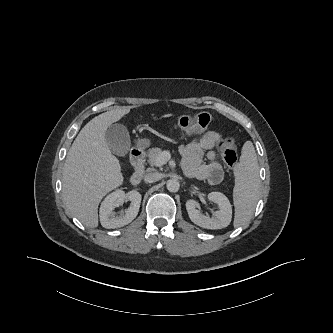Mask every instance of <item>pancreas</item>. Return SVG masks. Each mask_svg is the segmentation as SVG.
<instances>
[{
  "label": "pancreas",
  "mask_w": 333,
  "mask_h": 333,
  "mask_svg": "<svg viewBox=\"0 0 333 333\" xmlns=\"http://www.w3.org/2000/svg\"><path fill=\"white\" fill-rule=\"evenodd\" d=\"M163 151L160 148H152L148 150V162L151 166H158L157 158Z\"/></svg>",
  "instance_id": "cf45deb5"
}]
</instances>
